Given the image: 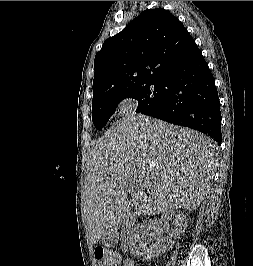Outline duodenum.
Returning a JSON list of instances; mask_svg holds the SVG:
<instances>
[{
  "label": "duodenum",
  "mask_w": 253,
  "mask_h": 266,
  "mask_svg": "<svg viewBox=\"0 0 253 266\" xmlns=\"http://www.w3.org/2000/svg\"><path fill=\"white\" fill-rule=\"evenodd\" d=\"M126 230H127V235H126V237H125V240H128L129 228L127 227ZM114 238H115L114 235H112V234H107V235H106V242H107V243H112ZM119 240H120V239H119Z\"/></svg>",
  "instance_id": "1"
}]
</instances>
